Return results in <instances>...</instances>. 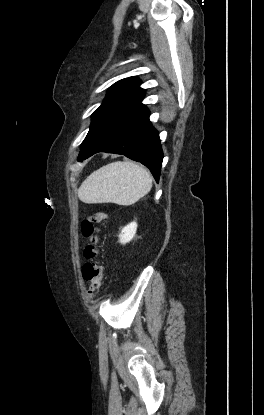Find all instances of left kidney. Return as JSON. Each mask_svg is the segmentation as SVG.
<instances>
[{
  "mask_svg": "<svg viewBox=\"0 0 264 415\" xmlns=\"http://www.w3.org/2000/svg\"><path fill=\"white\" fill-rule=\"evenodd\" d=\"M136 230H137V223L135 221H133L130 224L126 225L121 230V233L119 234V242L121 244H126V243L130 242L134 238V236L136 234Z\"/></svg>",
  "mask_w": 264,
  "mask_h": 415,
  "instance_id": "1",
  "label": "left kidney"
}]
</instances>
